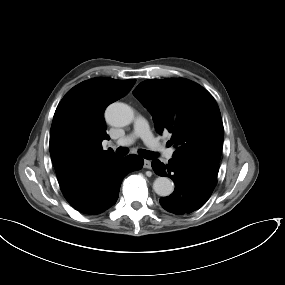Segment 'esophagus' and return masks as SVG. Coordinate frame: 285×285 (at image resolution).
<instances>
[{
	"label": "esophagus",
	"instance_id": "obj_1",
	"mask_svg": "<svg viewBox=\"0 0 285 285\" xmlns=\"http://www.w3.org/2000/svg\"><path fill=\"white\" fill-rule=\"evenodd\" d=\"M143 166L146 169H150L151 168V161L150 160H144Z\"/></svg>",
	"mask_w": 285,
	"mask_h": 285
}]
</instances>
